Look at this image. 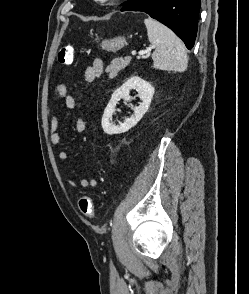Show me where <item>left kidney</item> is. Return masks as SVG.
I'll return each mask as SVG.
<instances>
[{
	"mask_svg": "<svg viewBox=\"0 0 249 294\" xmlns=\"http://www.w3.org/2000/svg\"><path fill=\"white\" fill-rule=\"evenodd\" d=\"M131 89H135L138 92V96L142 102L139 106L134 108V115L125 119L120 125H115L112 122V115L115 112L116 104L120 101V99L130 101L131 97L129 93ZM153 95L154 87L149 82L138 76H133L128 79L121 87L114 91L107 107L104 110L101 121L104 132L108 135L121 134L134 127L147 112Z\"/></svg>",
	"mask_w": 249,
	"mask_h": 294,
	"instance_id": "obj_1",
	"label": "left kidney"
}]
</instances>
